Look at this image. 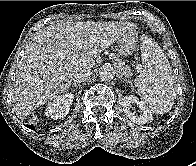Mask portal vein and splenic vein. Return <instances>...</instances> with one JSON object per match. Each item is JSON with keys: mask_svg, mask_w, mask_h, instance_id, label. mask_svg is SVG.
<instances>
[{"mask_svg": "<svg viewBox=\"0 0 196 166\" xmlns=\"http://www.w3.org/2000/svg\"><path fill=\"white\" fill-rule=\"evenodd\" d=\"M79 48H82V46L79 45ZM77 58H78V54H76V55L73 56V59H77ZM141 67H142L141 65H138L137 68H138V69H141Z\"/></svg>", "mask_w": 196, "mask_h": 166, "instance_id": "18ae733b", "label": "portal vein and splenic vein"}]
</instances>
